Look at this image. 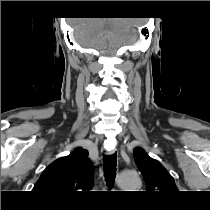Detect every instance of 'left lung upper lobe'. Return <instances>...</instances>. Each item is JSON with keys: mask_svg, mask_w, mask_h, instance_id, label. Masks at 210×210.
<instances>
[{"mask_svg": "<svg viewBox=\"0 0 210 210\" xmlns=\"http://www.w3.org/2000/svg\"><path fill=\"white\" fill-rule=\"evenodd\" d=\"M133 156L146 183L147 192L173 193L178 191L173 177L159 161L151 158L139 147L134 149Z\"/></svg>", "mask_w": 210, "mask_h": 210, "instance_id": "5c2ea615", "label": "left lung upper lobe"}]
</instances>
